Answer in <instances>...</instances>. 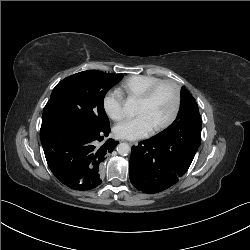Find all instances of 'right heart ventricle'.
I'll use <instances>...</instances> for the list:
<instances>
[{
	"label": "right heart ventricle",
	"instance_id": "obj_1",
	"mask_svg": "<svg viewBox=\"0 0 250 250\" xmlns=\"http://www.w3.org/2000/svg\"><path fill=\"white\" fill-rule=\"evenodd\" d=\"M161 80L152 75H134L121 82L120 90L127 98H138L150 86Z\"/></svg>",
	"mask_w": 250,
	"mask_h": 250
}]
</instances>
